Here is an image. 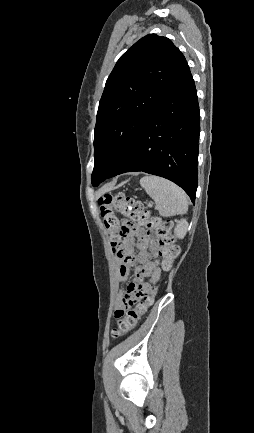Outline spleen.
Segmentation results:
<instances>
[{
  "mask_svg": "<svg viewBox=\"0 0 254 433\" xmlns=\"http://www.w3.org/2000/svg\"><path fill=\"white\" fill-rule=\"evenodd\" d=\"M140 185L155 201L161 216L170 217L187 212V196L176 184L164 178L150 175L141 178Z\"/></svg>",
  "mask_w": 254,
  "mask_h": 433,
  "instance_id": "1",
  "label": "spleen"
}]
</instances>
